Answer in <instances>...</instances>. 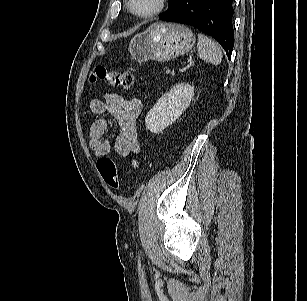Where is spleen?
Here are the masks:
<instances>
[{
  "label": "spleen",
  "instance_id": "spleen-1",
  "mask_svg": "<svg viewBox=\"0 0 307 301\" xmlns=\"http://www.w3.org/2000/svg\"><path fill=\"white\" fill-rule=\"evenodd\" d=\"M197 50L199 58L206 62L218 65L222 61V51L219 45L203 34H198Z\"/></svg>",
  "mask_w": 307,
  "mask_h": 301
}]
</instances>
